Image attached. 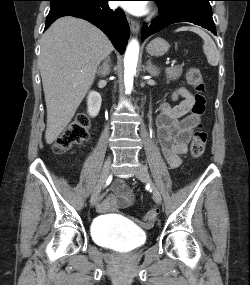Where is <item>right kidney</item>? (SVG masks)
<instances>
[{"label":"right kidney","instance_id":"1","mask_svg":"<svg viewBox=\"0 0 250 285\" xmlns=\"http://www.w3.org/2000/svg\"><path fill=\"white\" fill-rule=\"evenodd\" d=\"M101 95L96 91H91L87 97L88 113L91 117H96L101 107Z\"/></svg>","mask_w":250,"mask_h":285}]
</instances>
